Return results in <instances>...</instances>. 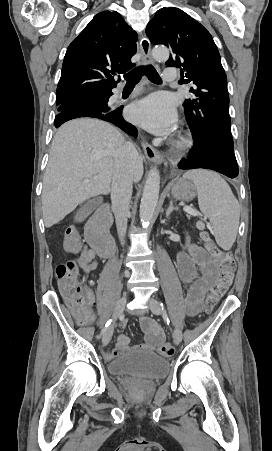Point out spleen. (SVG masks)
<instances>
[{
	"mask_svg": "<svg viewBox=\"0 0 272 451\" xmlns=\"http://www.w3.org/2000/svg\"><path fill=\"white\" fill-rule=\"evenodd\" d=\"M183 178L195 184L199 208L209 218L218 245L228 251L236 239L240 220L239 202L230 186L209 170H190Z\"/></svg>",
	"mask_w": 272,
	"mask_h": 451,
	"instance_id": "spleen-1",
	"label": "spleen"
}]
</instances>
